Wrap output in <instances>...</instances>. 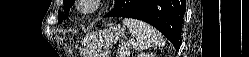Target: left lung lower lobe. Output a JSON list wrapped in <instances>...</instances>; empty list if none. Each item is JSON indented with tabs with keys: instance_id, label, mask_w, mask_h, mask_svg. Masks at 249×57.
<instances>
[{
	"instance_id": "left-lung-lower-lobe-1",
	"label": "left lung lower lobe",
	"mask_w": 249,
	"mask_h": 57,
	"mask_svg": "<svg viewBox=\"0 0 249 57\" xmlns=\"http://www.w3.org/2000/svg\"><path fill=\"white\" fill-rule=\"evenodd\" d=\"M185 10V0H115L114 9L105 17H129L148 22L179 48Z\"/></svg>"
}]
</instances>
